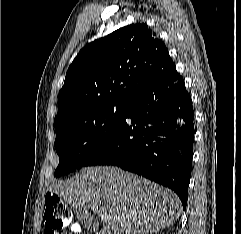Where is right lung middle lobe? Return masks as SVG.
<instances>
[{
	"label": "right lung middle lobe",
	"mask_w": 241,
	"mask_h": 234,
	"mask_svg": "<svg viewBox=\"0 0 241 234\" xmlns=\"http://www.w3.org/2000/svg\"><path fill=\"white\" fill-rule=\"evenodd\" d=\"M128 104H105L84 112L78 120L56 132L59 165L55 177L67 175L89 161L121 124Z\"/></svg>",
	"instance_id": "dd1d6c3e"
}]
</instances>
